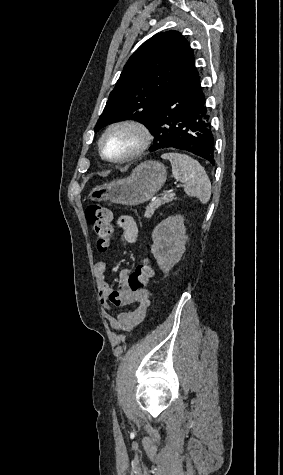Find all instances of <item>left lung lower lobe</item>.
Returning <instances> with one entry per match:
<instances>
[{
  "label": "left lung lower lobe",
  "mask_w": 283,
  "mask_h": 475,
  "mask_svg": "<svg viewBox=\"0 0 283 475\" xmlns=\"http://www.w3.org/2000/svg\"><path fill=\"white\" fill-rule=\"evenodd\" d=\"M198 71L179 81L157 105L147 128L154 145L149 151L171 147L198 155L214 165V135Z\"/></svg>",
  "instance_id": "obj_1"
}]
</instances>
